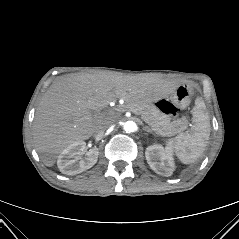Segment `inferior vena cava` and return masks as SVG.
<instances>
[{"mask_svg":"<svg viewBox=\"0 0 239 239\" xmlns=\"http://www.w3.org/2000/svg\"><path fill=\"white\" fill-rule=\"evenodd\" d=\"M112 122L108 119L104 120L103 124L98 128L97 135L101 136L106 129L111 126Z\"/></svg>","mask_w":239,"mask_h":239,"instance_id":"602c4592","label":"inferior vena cava"}]
</instances>
